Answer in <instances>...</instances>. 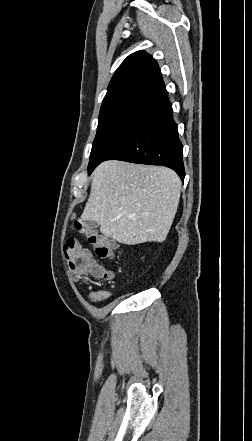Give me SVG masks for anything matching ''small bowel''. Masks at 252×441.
<instances>
[{
	"label": "small bowel",
	"mask_w": 252,
	"mask_h": 441,
	"mask_svg": "<svg viewBox=\"0 0 252 441\" xmlns=\"http://www.w3.org/2000/svg\"><path fill=\"white\" fill-rule=\"evenodd\" d=\"M110 292L105 290H94L92 288H89L88 292V299L93 303L101 302L104 299H107L110 297Z\"/></svg>",
	"instance_id": "small-bowel-1"
}]
</instances>
